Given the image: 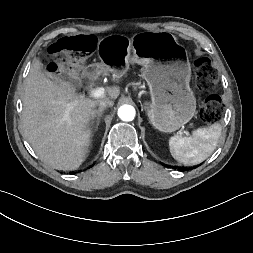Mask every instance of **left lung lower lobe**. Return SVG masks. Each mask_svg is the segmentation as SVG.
<instances>
[{
	"label": "left lung lower lobe",
	"mask_w": 253,
	"mask_h": 253,
	"mask_svg": "<svg viewBox=\"0 0 253 253\" xmlns=\"http://www.w3.org/2000/svg\"><path fill=\"white\" fill-rule=\"evenodd\" d=\"M186 168H179V171H185Z\"/></svg>",
	"instance_id": "obj_1"
}]
</instances>
